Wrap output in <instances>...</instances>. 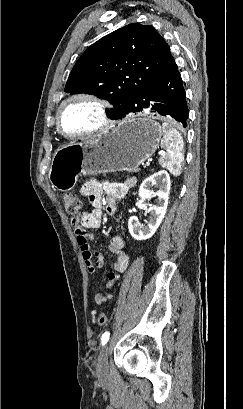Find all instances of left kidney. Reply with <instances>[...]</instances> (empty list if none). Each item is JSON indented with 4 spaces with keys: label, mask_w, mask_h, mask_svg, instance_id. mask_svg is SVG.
<instances>
[{
    "label": "left kidney",
    "mask_w": 243,
    "mask_h": 409,
    "mask_svg": "<svg viewBox=\"0 0 243 409\" xmlns=\"http://www.w3.org/2000/svg\"><path fill=\"white\" fill-rule=\"evenodd\" d=\"M153 186L158 188L156 192L151 190ZM170 187V176L164 170L154 173L142 182L139 188V197L148 200L152 197H156L157 204L149 205L148 212L150 213V217L146 224H141L136 216L130 217L128 229L134 239L146 240L154 235L165 216Z\"/></svg>",
    "instance_id": "1"
}]
</instances>
